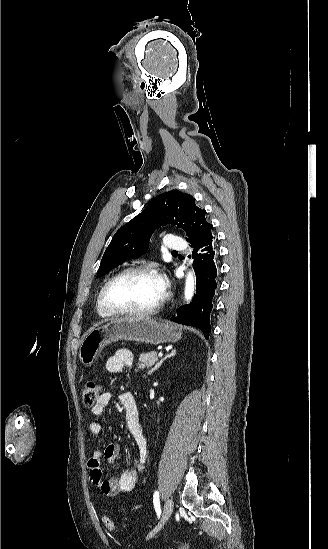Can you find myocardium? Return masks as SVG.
<instances>
[{"label": "myocardium", "instance_id": "f54148a6", "mask_svg": "<svg viewBox=\"0 0 328 549\" xmlns=\"http://www.w3.org/2000/svg\"><path fill=\"white\" fill-rule=\"evenodd\" d=\"M157 268H165V266L158 261H140L124 266L119 272H117L112 278H110L103 286L100 292V300L102 303V310L110 317H127V316H149L155 314L164 303L166 298V289L163 290L161 297L150 307L144 309H126L116 310L110 306L108 300V292L111 286L124 275L135 271L151 272L160 277Z\"/></svg>", "mask_w": 328, "mask_h": 549}]
</instances>
